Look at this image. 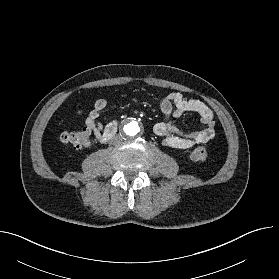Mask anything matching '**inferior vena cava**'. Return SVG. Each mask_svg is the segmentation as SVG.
Listing matches in <instances>:
<instances>
[{"instance_id":"obj_1","label":"inferior vena cava","mask_w":279,"mask_h":279,"mask_svg":"<svg viewBox=\"0 0 279 279\" xmlns=\"http://www.w3.org/2000/svg\"><path fill=\"white\" fill-rule=\"evenodd\" d=\"M122 141H123V138H122V136H120V135L114 136V137L112 138V140H111V142H112L113 144H119V143H121Z\"/></svg>"}]
</instances>
